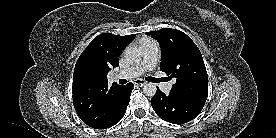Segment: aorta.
<instances>
[{
	"label": "aorta",
	"mask_w": 276,
	"mask_h": 138,
	"mask_svg": "<svg viewBox=\"0 0 276 138\" xmlns=\"http://www.w3.org/2000/svg\"><path fill=\"white\" fill-rule=\"evenodd\" d=\"M124 57L129 64H137L141 60L142 52L136 47L129 46L124 51ZM156 91L157 88L154 83H147L143 87V92L149 97L154 96Z\"/></svg>",
	"instance_id": "1"
}]
</instances>
